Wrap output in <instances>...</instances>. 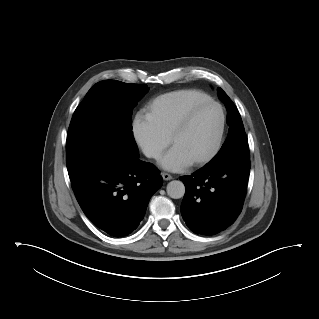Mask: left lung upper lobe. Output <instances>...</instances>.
<instances>
[{
    "instance_id": "5c2ea615",
    "label": "left lung upper lobe",
    "mask_w": 319,
    "mask_h": 319,
    "mask_svg": "<svg viewBox=\"0 0 319 319\" xmlns=\"http://www.w3.org/2000/svg\"><path fill=\"white\" fill-rule=\"evenodd\" d=\"M218 96L224 101L227 108V124L230 128L223 146L210 163L220 162L234 156L250 158L248 141L238 109L221 88H218Z\"/></svg>"
}]
</instances>
